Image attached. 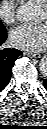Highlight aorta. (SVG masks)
Segmentation results:
<instances>
[{"mask_svg": "<svg viewBox=\"0 0 47 129\" xmlns=\"http://www.w3.org/2000/svg\"><path fill=\"white\" fill-rule=\"evenodd\" d=\"M18 16L23 21H34L37 16V8L30 4L22 5L18 9ZM41 70L46 74L47 72V61L42 59L40 63Z\"/></svg>", "mask_w": 47, "mask_h": 129, "instance_id": "1", "label": "aorta"}]
</instances>
